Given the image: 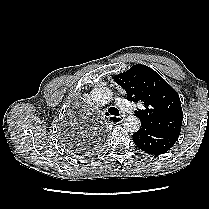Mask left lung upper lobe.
Segmentation results:
<instances>
[{"label": "left lung upper lobe", "instance_id": "5c2ea615", "mask_svg": "<svg viewBox=\"0 0 209 209\" xmlns=\"http://www.w3.org/2000/svg\"><path fill=\"white\" fill-rule=\"evenodd\" d=\"M114 81L125 89L129 101L144 104V108L134 114L141 123L180 134L183 112L179 95L157 72L137 64L114 76Z\"/></svg>", "mask_w": 209, "mask_h": 209}]
</instances>
